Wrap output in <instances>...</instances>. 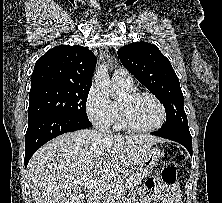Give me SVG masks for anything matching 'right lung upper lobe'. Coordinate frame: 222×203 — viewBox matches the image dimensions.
Here are the masks:
<instances>
[{
    "mask_svg": "<svg viewBox=\"0 0 222 203\" xmlns=\"http://www.w3.org/2000/svg\"><path fill=\"white\" fill-rule=\"evenodd\" d=\"M97 58L86 47L59 45L40 57L31 75V90L61 86H91Z\"/></svg>",
    "mask_w": 222,
    "mask_h": 203,
    "instance_id": "1",
    "label": "right lung upper lobe"
}]
</instances>
